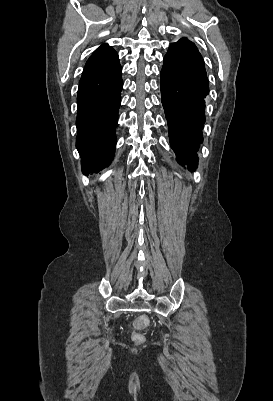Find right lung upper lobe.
Wrapping results in <instances>:
<instances>
[{"label":"right lung upper lobe","instance_id":"1","mask_svg":"<svg viewBox=\"0 0 273 401\" xmlns=\"http://www.w3.org/2000/svg\"><path fill=\"white\" fill-rule=\"evenodd\" d=\"M117 59V53L107 44H103L88 59L83 73L109 65Z\"/></svg>","mask_w":273,"mask_h":401}]
</instances>
